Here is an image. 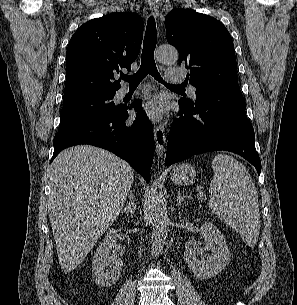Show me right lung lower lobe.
<instances>
[{
  "mask_svg": "<svg viewBox=\"0 0 297 305\" xmlns=\"http://www.w3.org/2000/svg\"><path fill=\"white\" fill-rule=\"evenodd\" d=\"M138 113L132 124H126L128 109ZM154 135L151 122L140 100L121 105L114 112L84 117L60 129L54 137L53 159L61 150L79 144H91L113 152L126 160L146 181H150Z\"/></svg>",
  "mask_w": 297,
  "mask_h": 305,
  "instance_id": "1",
  "label": "right lung lower lobe"
}]
</instances>
